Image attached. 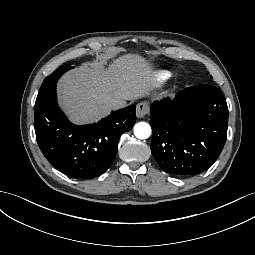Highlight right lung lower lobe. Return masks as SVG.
I'll use <instances>...</instances> for the list:
<instances>
[{
    "label": "right lung lower lobe",
    "instance_id": "obj_1",
    "mask_svg": "<svg viewBox=\"0 0 255 255\" xmlns=\"http://www.w3.org/2000/svg\"><path fill=\"white\" fill-rule=\"evenodd\" d=\"M136 106L120 109L98 123H70L56 102V85L38 93L34 125L38 145L59 171L76 178H92L113 163L120 136L132 129Z\"/></svg>",
    "mask_w": 255,
    "mask_h": 255
}]
</instances>
